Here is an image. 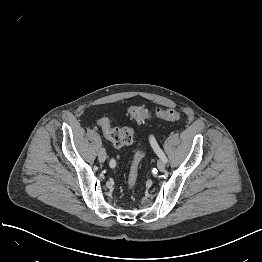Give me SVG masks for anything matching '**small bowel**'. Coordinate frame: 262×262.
<instances>
[{
    "label": "small bowel",
    "mask_w": 262,
    "mask_h": 262,
    "mask_svg": "<svg viewBox=\"0 0 262 262\" xmlns=\"http://www.w3.org/2000/svg\"><path fill=\"white\" fill-rule=\"evenodd\" d=\"M156 141V139H155V137L153 136V135H151L150 136V144H152L153 142H155ZM116 166V163H114L113 165H112V168H114Z\"/></svg>",
    "instance_id": "c3829d8e"
}]
</instances>
